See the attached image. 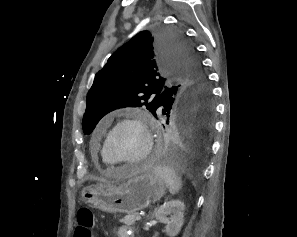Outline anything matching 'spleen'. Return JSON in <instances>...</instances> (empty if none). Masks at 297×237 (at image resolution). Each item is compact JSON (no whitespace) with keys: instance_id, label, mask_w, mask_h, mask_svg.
Instances as JSON below:
<instances>
[{"instance_id":"1","label":"spleen","mask_w":297,"mask_h":237,"mask_svg":"<svg viewBox=\"0 0 297 237\" xmlns=\"http://www.w3.org/2000/svg\"><path fill=\"white\" fill-rule=\"evenodd\" d=\"M154 173L164 181L172 195L177 194L182 188V179L172 168L158 165L155 166Z\"/></svg>"}]
</instances>
